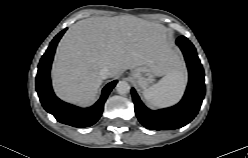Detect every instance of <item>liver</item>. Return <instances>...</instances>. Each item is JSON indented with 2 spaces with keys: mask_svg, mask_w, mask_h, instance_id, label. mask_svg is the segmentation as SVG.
<instances>
[{
  "mask_svg": "<svg viewBox=\"0 0 248 158\" xmlns=\"http://www.w3.org/2000/svg\"><path fill=\"white\" fill-rule=\"evenodd\" d=\"M179 65L168 45L165 28L135 16L91 17L72 25L60 40L52 67V83L63 100L90 105L107 67L109 77L150 66L163 76L167 62Z\"/></svg>",
  "mask_w": 248,
  "mask_h": 158,
  "instance_id": "obj_1",
  "label": "liver"
}]
</instances>
